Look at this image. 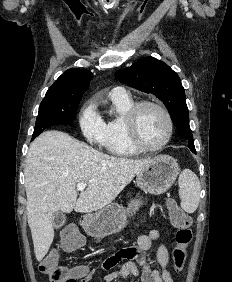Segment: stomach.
Instances as JSON below:
<instances>
[{"label":"stomach","mask_w":232,"mask_h":282,"mask_svg":"<svg viewBox=\"0 0 232 282\" xmlns=\"http://www.w3.org/2000/svg\"><path fill=\"white\" fill-rule=\"evenodd\" d=\"M179 174L177 161L168 155H158L149 159L148 163L137 173L136 183L145 193L161 195L174 184ZM140 200L133 199L128 208L112 203L90 216L84 223L88 235L102 239L120 232L126 225L127 215L135 211Z\"/></svg>","instance_id":"stomach-1"}]
</instances>
